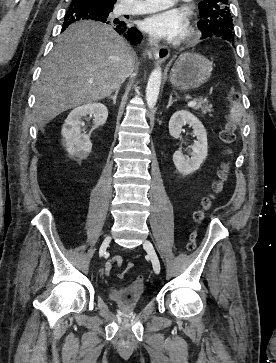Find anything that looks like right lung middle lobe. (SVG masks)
<instances>
[{
    "label": "right lung middle lobe",
    "instance_id": "right-lung-middle-lobe-1",
    "mask_svg": "<svg viewBox=\"0 0 276 363\" xmlns=\"http://www.w3.org/2000/svg\"><path fill=\"white\" fill-rule=\"evenodd\" d=\"M79 5L82 6H92L94 7L103 17H108L109 14L112 12L113 10V6H107L101 3H98L94 0H72L70 7H79Z\"/></svg>",
    "mask_w": 276,
    "mask_h": 363
}]
</instances>
